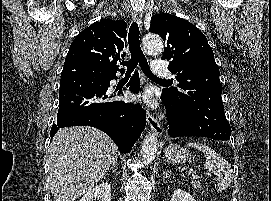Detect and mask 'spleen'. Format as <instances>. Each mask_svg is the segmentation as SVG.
I'll list each match as a JSON object with an SVG mask.
<instances>
[{
    "mask_svg": "<svg viewBox=\"0 0 271 201\" xmlns=\"http://www.w3.org/2000/svg\"><path fill=\"white\" fill-rule=\"evenodd\" d=\"M187 146H192L207 156L204 168L217 176V191L221 192L226 190L233 179L232 169L229 162L225 160L221 154L212 150L205 144L189 142Z\"/></svg>",
    "mask_w": 271,
    "mask_h": 201,
    "instance_id": "3e777b00",
    "label": "spleen"
}]
</instances>
